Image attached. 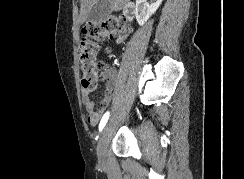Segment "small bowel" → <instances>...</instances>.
Listing matches in <instances>:
<instances>
[{"mask_svg":"<svg viewBox=\"0 0 244 179\" xmlns=\"http://www.w3.org/2000/svg\"><path fill=\"white\" fill-rule=\"evenodd\" d=\"M120 40L121 39L118 41ZM117 74L118 72L115 68L110 67L105 70L103 75V79L105 81V92L98 108L95 107V104L91 99L90 92L86 90L82 92V102L88 112V123L90 125L94 126L99 122L104 110L109 106L114 98Z\"/></svg>","mask_w":244,"mask_h":179,"instance_id":"c3829d8e","label":"small bowel"}]
</instances>
